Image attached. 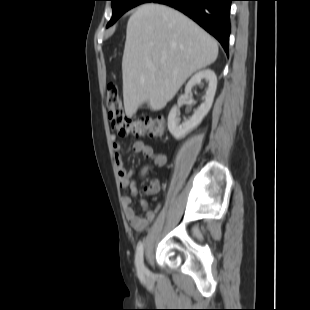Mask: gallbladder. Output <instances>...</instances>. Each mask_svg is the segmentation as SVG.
Wrapping results in <instances>:
<instances>
[{"label": "gallbladder", "instance_id": "gallbladder-1", "mask_svg": "<svg viewBox=\"0 0 310 310\" xmlns=\"http://www.w3.org/2000/svg\"><path fill=\"white\" fill-rule=\"evenodd\" d=\"M143 104H144V102H141L139 106L141 107Z\"/></svg>", "mask_w": 310, "mask_h": 310}]
</instances>
